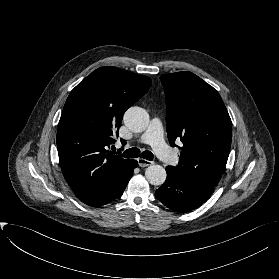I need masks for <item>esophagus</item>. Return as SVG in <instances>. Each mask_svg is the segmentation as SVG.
<instances>
[{"mask_svg":"<svg viewBox=\"0 0 279 279\" xmlns=\"http://www.w3.org/2000/svg\"><path fill=\"white\" fill-rule=\"evenodd\" d=\"M137 161H138V164L140 167H147V166H150L153 164L152 161H149V160H146L143 158H138Z\"/></svg>","mask_w":279,"mask_h":279,"instance_id":"obj_1","label":"esophagus"}]
</instances>
